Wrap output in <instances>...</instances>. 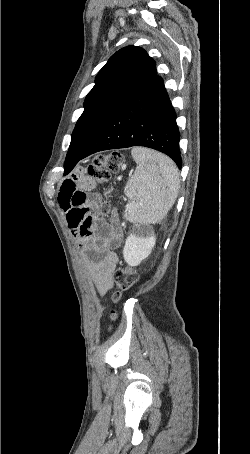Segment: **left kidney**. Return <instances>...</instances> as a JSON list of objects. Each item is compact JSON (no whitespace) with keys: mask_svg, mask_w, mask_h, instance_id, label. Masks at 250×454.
<instances>
[{"mask_svg":"<svg viewBox=\"0 0 250 454\" xmlns=\"http://www.w3.org/2000/svg\"><path fill=\"white\" fill-rule=\"evenodd\" d=\"M156 237L141 233H133L128 236L123 249V257L130 266L139 265L142 260L146 259L155 246Z\"/></svg>","mask_w":250,"mask_h":454,"instance_id":"left-kidney-1","label":"left kidney"}]
</instances>
